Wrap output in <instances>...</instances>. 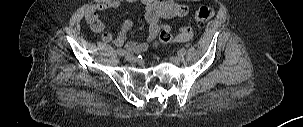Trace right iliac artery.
Masks as SVG:
<instances>
[{
	"label": "right iliac artery",
	"instance_id": "82829eb1",
	"mask_svg": "<svg viewBox=\"0 0 303 127\" xmlns=\"http://www.w3.org/2000/svg\"><path fill=\"white\" fill-rule=\"evenodd\" d=\"M117 53H118L120 56H124L127 52H126V50H124V49H117Z\"/></svg>",
	"mask_w": 303,
	"mask_h": 127
}]
</instances>
